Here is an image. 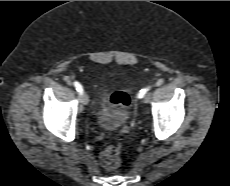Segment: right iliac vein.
<instances>
[{"instance_id":"63e3f726","label":"right iliac vein","mask_w":230,"mask_h":186,"mask_svg":"<svg viewBox=\"0 0 230 186\" xmlns=\"http://www.w3.org/2000/svg\"><path fill=\"white\" fill-rule=\"evenodd\" d=\"M80 99H81V102H82L84 105H87V104L89 103V97H88V95H87L86 92H82V93H81Z\"/></svg>"}]
</instances>
